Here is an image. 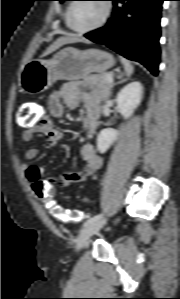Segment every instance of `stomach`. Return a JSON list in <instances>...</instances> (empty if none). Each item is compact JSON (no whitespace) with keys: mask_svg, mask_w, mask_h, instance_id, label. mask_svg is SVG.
I'll use <instances>...</instances> for the list:
<instances>
[{"mask_svg":"<svg viewBox=\"0 0 180 299\" xmlns=\"http://www.w3.org/2000/svg\"><path fill=\"white\" fill-rule=\"evenodd\" d=\"M114 63L113 56L108 52L67 47L49 60L28 61L20 71V89L26 94H39L49 89L57 80H79L93 72L102 74Z\"/></svg>","mask_w":180,"mask_h":299,"instance_id":"0dacf381","label":"stomach"}]
</instances>
